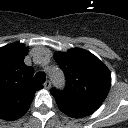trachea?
<instances>
[{
  "instance_id": "1",
  "label": "trachea",
  "mask_w": 128,
  "mask_h": 128,
  "mask_svg": "<svg viewBox=\"0 0 128 128\" xmlns=\"http://www.w3.org/2000/svg\"><path fill=\"white\" fill-rule=\"evenodd\" d=\"M34 78L37 83L42 84L46 80V75L44 72H37Z\"/></svg>"
}]
</instances>
